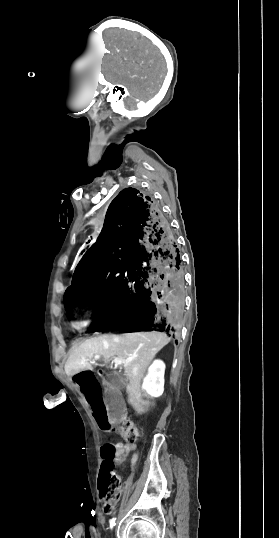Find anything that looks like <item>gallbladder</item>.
Returning <instances> with one entry per match:
<instances>
[{
	"label": "gallbladder",
	"instance_id": "1",
	"mask_svg": "<svg viewBox=\"0 0 279 538\" xmlns=\"http://www.w3.org/2000/svg\"><path fill=\"white\" fill-rule=\"evenodd\" d=\"M104 382L108 384V396L105 397V402L109 403L113 410H115L108 414V421L110 423H117L119 418L124 416V408L126 406L124 399H121L117 390H120L121 386L126 384V378L123 374H107Z\"/></svg>",
	"mask_w": 279,
	"mask_h": 538
}]
</instances>
